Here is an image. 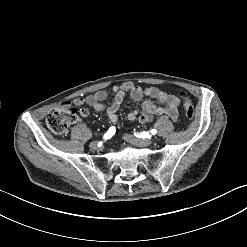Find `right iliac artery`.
<instances>
[{"label": "right iliac artery", "mask_w": 247, "mask_h": 247, "mask_svg": "<svg viewBox=\"0 0 247 247\" xmlns=\"http://www.w3.org/2000/svg\"><path fill=\"white\" fill-rule=\"evenodd\" d=\"M116 132V129L114 126L110 127L109 130L104 134V139H110Z\"/></svg>", "instance_id": "obj_1"}]
</instances>
